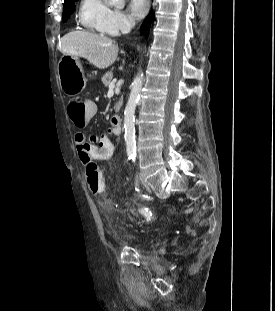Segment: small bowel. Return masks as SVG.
Listing matches in <instances>:
<instances>
[{
  "label": "small bowel",
  "instance_id": "small-bowel-1",
  "mask_svg": "<svg viewBox=\"0 0 275 311\" xmlns=\"http://www.w3.org/2000/svg\"><path fill=\"white\" fill-rule=\"evenodd\" d=\"M121 128L113 124L108 131L100 136H87L84 132H77L74 135L78 157L84 166L94 161H107L115 153Z\"/></svg>",
  "mask_w": 275,
  "mask_h": 311
}]
</instances>
